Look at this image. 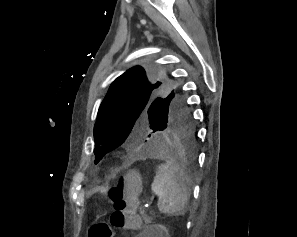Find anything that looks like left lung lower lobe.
<instances>
[{
    "instance_id": "left-lung-lower-lobe-1",
    "label": "left lung lower lobe",
    "mask_w": 297,
    "mask_h": 237,
    "mask_svg": "<svg viewBox=\"0 0 297 237\" xmlns=\"http://www.w3.org/2000/svg\"><path fill=\"white\" fill-rule=\"evenodd\" d=\"M188 105H178L164 118L140 157L168 156L193 169L197 156V136Z\"/></svg>"
}]
</instances>
